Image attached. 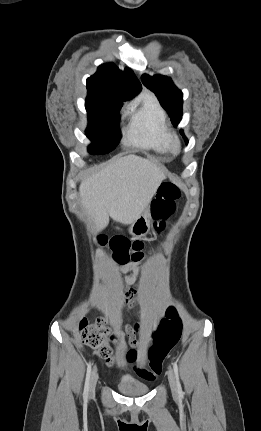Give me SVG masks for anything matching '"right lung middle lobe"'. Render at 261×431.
Wrapping results in <instances>:
<instances>
[{
  "mask_svg": "<svg viewBox=\"0 0 261 431\" xmlns=\"http://www.w3.org/2000/svg\"><path fill=\"white\" fill-rule=\"evenodd\" d=\"M123 101L126 100L112 94L88 90L86 135L93 142L89 146L91 154H106L117 146L120 140L119 111Z\"/></svg>",
  "mask_w": 261,
  "mask_h": 431,
  "instance_id": "dd1d6c3e",
  "label": "right lung middle lobe"
}]
</instances>
